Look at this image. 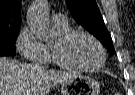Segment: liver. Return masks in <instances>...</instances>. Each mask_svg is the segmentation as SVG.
<instances>
[{
    "label": "liver",
    "mask_w": 135,
    "mask_h": 95,
    "mask_svg": "<svg viewBox=\"0 0 135 95\" xmlns=\"http://www.w3.org/2000/svg\"><path fill=\"white\" fill-rule=\"evenodd\" d=\"M75 75L0 57V95H46L50 88Z\"/></svg>",
    "instance_id": "6515ba94"
}]
</instances>
